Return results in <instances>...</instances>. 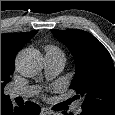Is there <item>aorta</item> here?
Masks as SVG:
<instances>
[{"label":"aorta","mask_w":115,"mask_h":115,"mask_svg":"<svg viewBox=\"0 0 115 115\" xmlns=\"http://www.w3.org/2000/svg\"><path fill=\"white\" fill-rule=\"evenodd\" d=\"M17 71L25 77L36 76L43 68V58L39 51L35 49H24L20 51L16 58ZM54 115H63L54 113Z\"/></svg>","instance_id":"762f6f07"}]
</instances>
